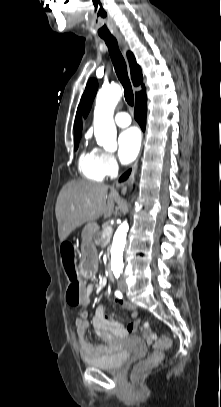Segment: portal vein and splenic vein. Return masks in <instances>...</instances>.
<instances>
[{
    "label": "portal vein and splenic vein",
    "instance_id": "18ae733b",
    "mask_svg": "<svg viewBox=\"0 0 221 407\" xmlns=\"http://www.w3.org/2000/svg\"><path fill=\"white\" fill-rule=\"evenodd\" d=\"M112 231H113L112 227L107 226L103 231V237L104 238L109 237L112 234Z\"/></svg>",
    "mask_w": 221,
    "mask_h": 407
}]
</instances>
